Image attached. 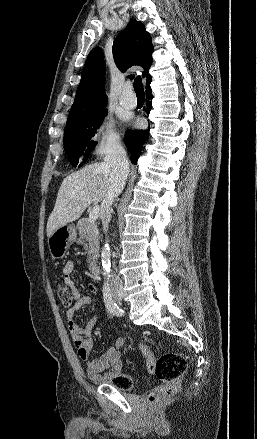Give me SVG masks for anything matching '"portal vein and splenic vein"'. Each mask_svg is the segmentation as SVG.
I'll return each instance as SVG.
<instances>
[{"mask_svg": "<svg viewBox=\"0 0 257 439\" xmlns=\"http://www.w3.org/2000/svg\"><path fill=\"white\" fill-rule=\"evenodd\" d=\"M99 215V206H94L89 213L88 221L92 222L98 218Z\"/></svg>", "mask_w": 257, "mask_h": 439, "instance_id": "obj_1", "label": "portal vein and splenic vein"}]
</instances>
